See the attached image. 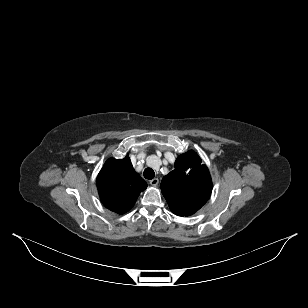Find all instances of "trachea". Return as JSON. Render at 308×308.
Segmentation results:
<instances>
[{
    "label": "trachea",
    "mask_w": 308,
    "mask_h": 308,
    "mask_svg": "<svg viewBox=\"0 0 308 308\" xmlns=\"http://www.w3.org/2000/svg\"><path fill=\"white\" fill-rule=\"evenodd\" d=\"M143 175L145 179L151 180L155 177V172L151 168H146Z\"/></svg>",
    "instance_id": "obj_1"
}]
</instances>
